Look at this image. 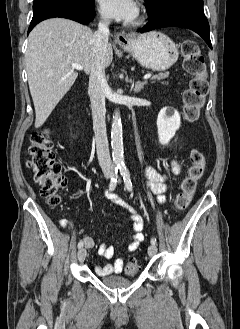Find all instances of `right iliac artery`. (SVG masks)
<instances>
[{
  "instance_id": "82829eb1",
  "label": "right iliac artery",
  "mask_w": 240,
  "mask_h": 329,
  "mask_svg": "<svg viewBox=\"0 0 240 329\" xmlns=\"http://www.w3.org/2000/svg\"><path fill=\"white\" fill-rule=\"evenodd\" d=\"M118 166L114 168V174L111 178L110 184H109V191H113L116 187L117 184V174H118ZM83 247V241H79L78 243V248H82Z\"/></svg>"
}]
</instances>
